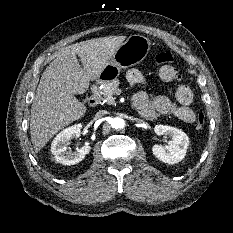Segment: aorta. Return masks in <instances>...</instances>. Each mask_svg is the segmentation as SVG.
I'll return each instance as SVG.
<instances>
[{"label":"aorta","mask_w":233,"mask_h":233,"mask_svg":"<svg viewBox=\"0 0 233 233\" xmlns=\"http://www.w3.org/2000/svg\"><path fill=\"white\" fill-rule=\"evenodd\" d=\"M111 127L114 129H121L124 127V120L121 118H112L110 121Z\"/></svg>","instance_id":"aorta-1"}]
</instances>
